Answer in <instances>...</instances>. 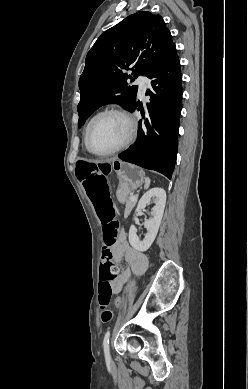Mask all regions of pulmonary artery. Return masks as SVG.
Here are the masks:
<instances>
[{"mask_svg": "<svg viewBox=\"0 0 248 389\" xmlns=\"http://www.w3.org/2000/svg\"><path fill=\"white\" fill-rule=\"evenodd\" d=\"M136 83L139 85V94L143 96L149 83V79L146 76H139L136 80Z\"/></svg>", "mask_w": 248, "mask_h": 389, "instance_id": "e3ab8cb5", "label": "pulmonary artery"}]
</instances>
